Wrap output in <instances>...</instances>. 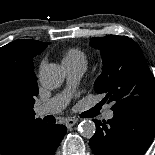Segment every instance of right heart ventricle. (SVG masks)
I'll return each instance as SVG.
<instances>
[{
	"mask_svg": "<svg viewBox=\"0 0 155 155\" xmlns=\"http://www.w3.org/2000/svg\"><path fill=\"white\" fill-rule=\"evenodd\" d=\"M63 63H87V58L85 53L78 49V48H72L66 52L63 58Z\"/></svg>",
	"mask_w": 155,
	"mask_h": 155,
	"instance_id": "1",
	"label": "right heart ventricle"
}]
</instances>
